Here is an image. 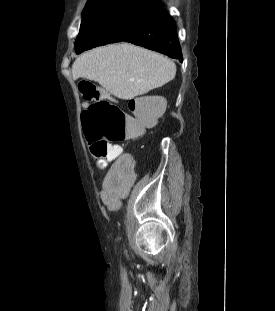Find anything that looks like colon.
<instances>
[{
  "label": "colon",
  "instance_id": "colon-1",
  "mask_svg": "<svg viewBox=\"0 0 275 311\" xmlns=\"http://www.w3.org/2000/svg\"><path fill=\"white\" fill-rule=\"evenodd\" d=\"M79 90L85 100L92 101L82 112V123L91 153L98 160L117 157L120 142L140 136L143 128L152 126L159 117L149 100L130 102L132 117L104 99L100 89L91 82L81 81Z\"/></svg>",
  "mask_w": 275,
  "mask_h": 311
}]
</instances>
